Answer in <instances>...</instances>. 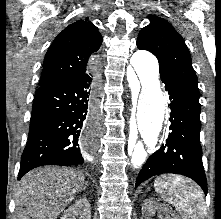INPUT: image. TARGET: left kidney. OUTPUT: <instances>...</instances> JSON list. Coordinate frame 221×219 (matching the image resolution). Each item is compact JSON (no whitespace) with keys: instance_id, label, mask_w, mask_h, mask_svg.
Masks as SVG:
<instances>
[{"instance_id":"left-kidney-1","label":"left kidney","mask_w":221,"mask_h":219,"mask_svg":"<svg viewBox=\"0 0 221 219\" xmlns=\"http://www.w3.org/2000/svg\"><path fill=\"white\" fill-rule=\"evenodd\" d=\"M155 213L159 214L161 219H179V217L164 204H161L154 199L145 200L142 205L141 219H152Z\"/></svg>"}]
</instances>
